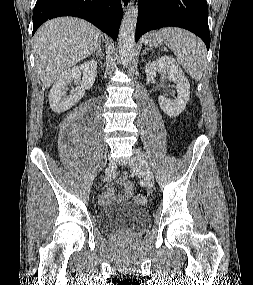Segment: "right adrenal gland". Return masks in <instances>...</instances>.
<instances>
[{"label": "right adrenal gland", "mask_w": 253, "mask_h": 285, "mask_svg": "<svg viewBox=\"0 0 253 285\" xmlns=\"http://www.w3.org/2000/svg\"><path fill=\"white\" fill-rule=\"evenodd\" d=\"M90 55L99 56L101 59H103V57H104L102 49L100 46H98L97 49L94 52H92Z\"/></svg>", "instance_id": "1"}]
</instances>
